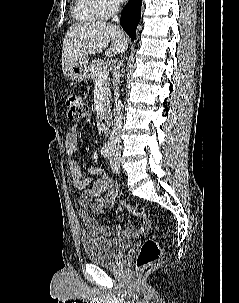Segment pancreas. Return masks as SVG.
<instances>
[{"instance_id": "cf45deb5", "label": "pancreas", "mask_w": 239, "mask_h": 303, "mask_svg": "<svg viewBox=\"0 0 239 303\" xmlns=\"http://www.w3.org/2000/svg\"><path fill=\"white\" fill-rule=\"evenodd\" d=\"M104 65L105 62L102 59H94L90 62L88 72L94 83L98 81V72L103 68ZM102 94L104 98V107L108 106L110 99V79L108 77L103 79Z\"/></svg>"}]
</instances>
